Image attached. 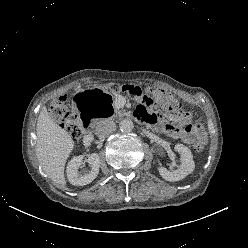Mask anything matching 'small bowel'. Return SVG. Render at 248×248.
Returning <instances> with one entry per match:
<instances>
[{
	"label": "small bowel",
	"mask_w": 248,
	"mask_h": 248,
	"mask_svg": "<svg viewBox=\"0 0 248 248\" xmlns=\"http://www.w3.org/2000/svg\"><path fill=\"white\" fill-rule=\"evenodd\" d=\"M136 116L140 120L146 121L153 125L156 129H161L173 138L181 139L187 144H192L195 141L206 140V133L202 127L197 128L194 124L190 123V116L183 115L173 116V121L177 123L163 124L160 121L159 115L154 112L148 111L146 108L139 106L136 110Z\"/></svg>",
	"instance_id": "obj_1"
}]
</instances>
